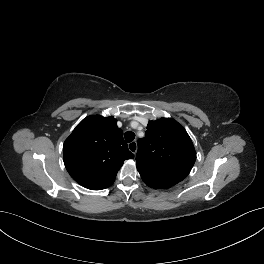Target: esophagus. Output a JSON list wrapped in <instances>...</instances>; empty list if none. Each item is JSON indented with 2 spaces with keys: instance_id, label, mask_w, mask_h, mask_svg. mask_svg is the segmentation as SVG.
<instances>
[{
  "instance_id": "34e87169",
  "label": "esophagus",
  "mask_w": 264,
  "mask_h": 264,
  "mask_svg": "<svg viewBox=\"0 0 264 264\" xmlns=\"http://www.w3.org/2000/svg\"><path fill=\"white\" fill-rule=\"evenodd\" d=\"M128 149L130 152H132L133 154H136L137 152V143L136 141H132L128 144Z\"/></svg>"
}]
</instances>
